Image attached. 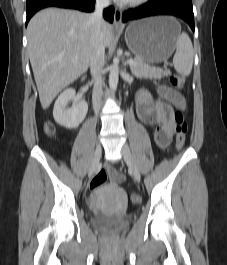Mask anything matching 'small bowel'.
I'll use <instances>...</instances> for the list:
<instances>
[{
    "mask_svg": "<svg viewBox=\"0 0 227 265\" xmlns=\"http://www.w3.org/2000/svg\"><path fill=\"white\" fill-rule=\"evenodd\" d=\"M161 99L150 101L140 96L137 101V115L146 125L152 126L154 139L161 149L166 148L174 133L173 106H184L182 98L176 97L175 93L167 86L158 89ZM111 180L119 182L123 176L114 169L109 170Z\"/></svg>",
    "mask_w": 227,
    "mask_h": 265,
    "instance_id": "small-bowel-1",
    "label": "small bowel"
}]
</instances>
